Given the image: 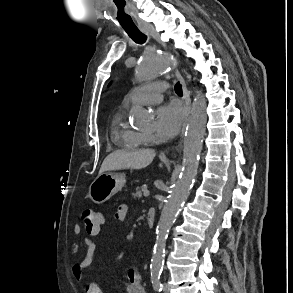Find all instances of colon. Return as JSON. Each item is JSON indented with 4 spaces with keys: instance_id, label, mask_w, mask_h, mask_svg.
<instances>
[{
    "instance_id": "colon-1",
    "label": "colon",
    "mask_w": 293,
    "mask_h": 293,
    "mask_svg": "<svg viewBox=\"0 0 293 293\" xmlns=\"http://www.w3.org/2000/svg\"><path fill=\"white\" fill-rule=\"evenodd\" d=\"M81 221L85 229L89 231L96 230L101 223V212L88 208L84 209L81 212ZM93 293H100V290L94 288Z\"/></svg>"
}]
</instances>
